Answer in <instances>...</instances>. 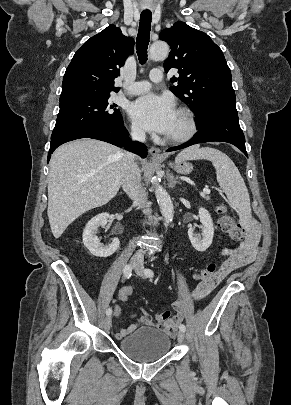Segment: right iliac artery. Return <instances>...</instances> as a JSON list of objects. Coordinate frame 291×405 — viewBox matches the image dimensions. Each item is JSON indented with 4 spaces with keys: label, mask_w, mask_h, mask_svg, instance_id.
Returning a JSON list of instances; mask_svg holds the SVG:
<instances>
[{
    "label": "right iliac artery",
    "mask_w": 291,
    "mask_h": 405,
    "mask_svg": "<svg viewBox=\"0 0 291 405\" xmlns=\"http://www.w3.org/2000/svg\"><path fill=\"white\" fill-rule=\"evenodd\" d=\"M123 274H124V277H125V278L129 279V278L131 277V274H132V268H131L129 265H126V266L124 267V269H123ZM106 314H107L108 316L111 315V314H112V309H111V308H108V309L106 310Z\"/></svg>",
    "instance_id": "right-iliac-artery-1"
}]
</instances>
